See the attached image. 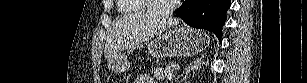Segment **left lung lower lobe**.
I'll list each match as a JSON object with an SVG mask.
<instances>
[{
  "instance_id": "obj_1",
  "label": "left lung lower lobe",
  "mask_w": 307,
  "mask_h": 83,
  "mask_svg": "<svg viewBox=\"0 0 307 83\" xmlns=\"http://www.w3.org/2000/svg\"><path fill=\"white\" fill-rule=\"evenodd\" d=\"M231 0H185L175 11L189 26L213 32L219 40Z\"/></svg>"
}]
</instances>
